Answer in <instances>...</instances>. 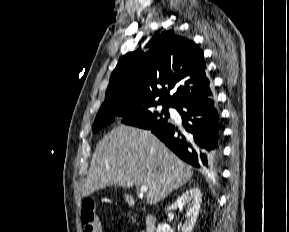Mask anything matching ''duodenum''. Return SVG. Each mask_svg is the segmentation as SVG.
<instances>
[{"mask_svg": "<svg viewBox=\"0 0 289 232\" xmlns=\"http://www.w3.org/2000/svg\"><path fill=\"white\" fill-rule=\"evenodd\" d=\"M129 203H132V199L130 197L127 198ZM145 228L146 232H155L156 230V218L152 215L147 213L145 215Z\"/></svg>", "mask_w": 289, "mask_h": 232, "instance_id": "duodenum-1", "label": "duodenum"}]
</instances>
